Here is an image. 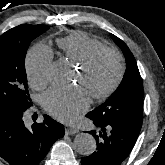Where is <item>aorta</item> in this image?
I'll return each instance as SVG.
<instances>
[{"label":"aorta","instance_id":"aorta-1","mask_svg":"<svg viewBox=\"0 0 165 165\" xmlns=\"http://www.w3.org/2000/svg\"><path fill=\"white\" fill-rule=\"evenodd\" d=\"M64 72V66L56 63L50 68L49 75L53 81L61 82ZM73 146L79 154L88 156L96 150V140L89 133H79L74 138Z\"/></svg>","mask_w":165,"mask_h":165}]
</instances>
